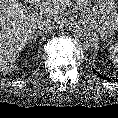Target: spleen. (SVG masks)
Segmentation results:
<instances>
[{
    "mask_svg": "<svg viewBox=\"0 0 118 118\" xmlns=\"http://www.w3.org/2000/svg\"><path fill=\"white\" fill-rule=\"evenodd\" d=\"M110 58L118 68V42L110 47Z\"/></svg>",
    "mask_w": 118,
    "mask_h": 118,
    "instance_id": "obj_1",
    "label": "spleen"
}]
</instances>
